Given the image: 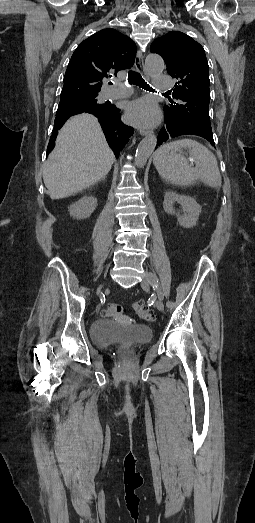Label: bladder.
I'll list each match as a JSON object with an SVG mask.
<instances>
[{
  "label": "bladder",
  "mask_w": 255,
  "mask_h": 523,
  "mask_svg": "<svg viewBox=\"0 0 255 523\" xmlns=\"http://www.w3.org/2000/svg\"><path fill=\"white\" fill-rule=\"evenodd\" d=\"M148 326L121 325L109 319L95 320L92 323L91 337L101 345H111L118 341L141 343L152 338Z\"/></svg>",
  "instance_id": "obj_1"
}]
</instances>
